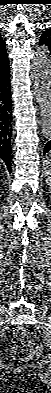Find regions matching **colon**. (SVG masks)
<instances>
[{
	"instance_id": "colon-1",
	"label": "colon",
	"mask_w": 51,
	"mask_h": 393,
	"mask_svg": "<svg viewBox=\"0 0 51 393\" xmlns=\"http://www.w3.org/2000/svg\"><path fill=\"white\" fill-rule=\"evenodd\" d=\"M12 351L22 360H32L41 356L42 347L35 344L25 328H17L11 341Z\"/></svg>"
}]
</instances>
